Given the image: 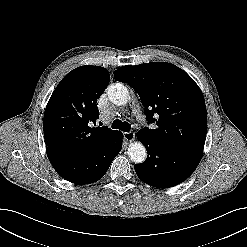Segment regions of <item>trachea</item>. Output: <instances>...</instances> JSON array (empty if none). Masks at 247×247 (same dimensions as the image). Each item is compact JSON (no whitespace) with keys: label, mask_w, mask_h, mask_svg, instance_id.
I'll return each mask as SVG.
<instances>
[{"label":"trachea","mask_w":247,"mask_h":247,"mask_svg":"<svg viewBox=\"0 0 247 247\" xmlns=\"http://www.w3.org/2000/svg\"><path fill=\"white\" fill-rule=\"evenodd\" d=\"M112 128L113 129H120L123 132H129L131 129V125L126 121L122 122L121 120L116 119L112 123Z\"/></svg>","instance_id":"3493384b"}]
</instances>
